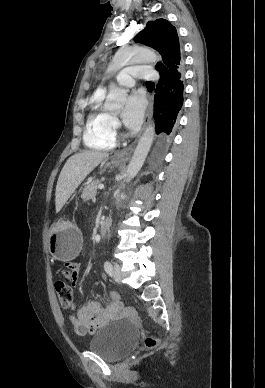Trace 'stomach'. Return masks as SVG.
<instances>
[{
  "instance_id": "1",
  "label": "stomach",
  "mask_w": 265,
  "mask_h": 388,
  "mask_svg": "<svg viewBox=\"0 0 265 388\" xmlns=\"http://www.w3.org/2000/svg\"><path fill=\"white\" fill-rule=\"evenodd\" d=\"M121 158H113L112 164L119 166L123 163ZM81 234L78 227L67 219H59L50 229L49 251L53 257L61 261L75 258L81 246Z\"/></svg>"
}]
</instances>
